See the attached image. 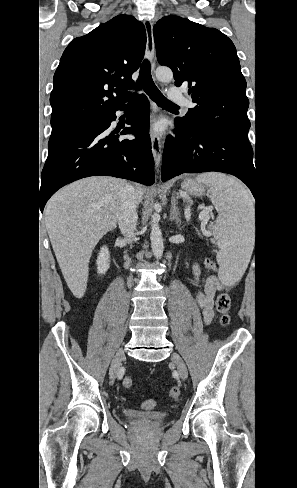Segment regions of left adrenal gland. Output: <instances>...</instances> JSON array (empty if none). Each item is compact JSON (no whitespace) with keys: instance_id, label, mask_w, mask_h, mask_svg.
Listing matches in <instances>:
<instances>
[{"instance_id":"1","label":"left adrenal gland","mask_w":297,"mask_h":488,"mask_svg":"<svg viewBox=\"0 0 297 488\" xmlns=\"http://www.w3.org/2000/svg\"><path fill=\"white\" fill-rule=\"evenodd\" d=\"M178 199H179V194L178 192H175L171 198L170 219L175 220L176 222H180V218H179L180 212L177 207Z\"/></svg>"}]
</instances>
